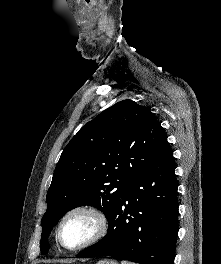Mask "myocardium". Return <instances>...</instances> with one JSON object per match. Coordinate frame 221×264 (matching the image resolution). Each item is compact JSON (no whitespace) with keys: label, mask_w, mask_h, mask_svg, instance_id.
<instances>
[{"label":"myocardium","mask_w":221,"mask_h":264,"mask_svg":"<svg viewBox=\"0 0 221 264\" xmlns=\"http://www.w3.org/2000/svg\"><path fill=\"white\" fill-rule=\"evenodd\" d=\"M75 214H86V215H89L90 217H92L95 221L96 229H95V232L92 235V237L89 238L87 241H85L84 243H82L78 246L70 247V246H67L63 242L62 229H63L65 222L71 216H73ZM108 229H109V220H108L107 215L105 214V212L102 209H100L99 207L94 206V205L82 204V205H77V206L71 208L70 210H68L64 214V216L60 220L58 228H57V239H58L59 244L63 248H65L66 250L78 251V250L85 249V248L97 243L98 241H100L107 234Z\"/></svg>","instance_id":"obj_1"}]
</instances>
